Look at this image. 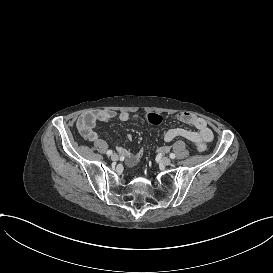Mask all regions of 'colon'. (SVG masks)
Instances as JSON below:
<instances>
[{"mask_svg":"<svg viewBox=\"0 0 273 273\" xmlns=\"http://www.w3.org/2000/svg\"><path fill=\"white\" fill-rule=\"evenodd\" d=\"M145 119L149 123H152V124H155V125H159V124H161L163 122V116L158 114V113H147L145 115ZM144 154H145V148L143 146L139 147L138 151H137V154H136V160L138 162H141L143 160Z\"/></svg>","mask_w":273,"mask_h":273,"instance_id":"1","label":"colon"}]
</instances>
